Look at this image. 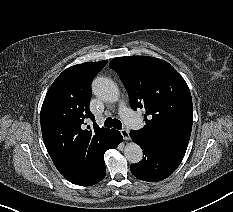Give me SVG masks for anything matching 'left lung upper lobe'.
<instances>
[{"mask_svg":"<svg viewBox=\"0 0 233 212\" xmlns=\"http://www.w3.org/2000/svg\"><path fill=\"white\" fill-rule=\"evenodd\" d=\"M109 67L122 80L131 107L145 110L146 125L131 133L185 153L192 129L193 105L183 77L168 62L149 56L114 58Z\"/></svg>","mask_w":233,"mask_h":212,"instance_id":"5c2ea615","label":"left lung upper lobe"}]
</instances>
